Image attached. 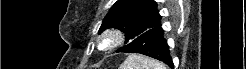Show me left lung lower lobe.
Listing matches in <instances>:
<instances>
[{"label":"left lung lower lobe","mask_w":246,"mask_h":69,"mask_svg":"<svg viewBox=\"0 0 246 69\" xmlns=\"http://www.w3.org/2000/svg\"><path fill=\"white\" fill-rule=\"evenodd\" d=\"M160 26L144 32L116 52L141 53L163 61L170 67H173L169 46L163 37L164 30Z\"/></svg>","instance_id":"0a47b994"}]
</instances>
